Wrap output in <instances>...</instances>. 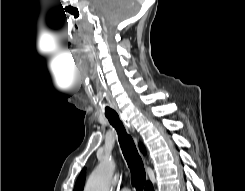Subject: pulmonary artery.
Returning <instances> with one entry per match:
<instances>
[{
    "mask_svg": "<svg viewBox=\"0 0 245 191\" xmlns=\"http://www.w3.org/2000/svg\"><path fill=\"white\" fill-rule=\"evenodd\" d=\"M121 191H131V190L128 189V188H124V189H122Z\"/></svg>",
    "mask_w": 245,
    "mask_h": 191,
    "instance_id": "obj_1",
    "label": "pulmonary artery"
}]
</instances>
